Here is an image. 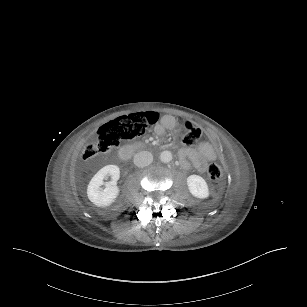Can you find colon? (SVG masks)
<instances>
[{
    "mask_svg": "<svg viewBox=\"0 0 307 307\" xmlns=\"http://www.w3.org/2000/svg\"><path fill=\"white\" fill-rule=\"evenodd\" d=\"M157 112H140L115 118L103 124L98 130V139L87 144L82 152V159L87 161L94 156L106 154L109 150L124 141H132L141 137L158 121ZM179 134L186 146H194L201 138V130L191 123H183ZM222 169L212 163L208 166L207 174L210 180L216 181L222 177Z\"/></svg>",
    "mask_w": 307,
    "mask_h": 307,
    "instance_id": "obj_1",
    "label": "colon"
}]
</instances>
